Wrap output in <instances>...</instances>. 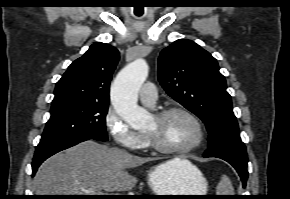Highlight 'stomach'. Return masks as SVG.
<instances>
[{"label": "stomach", "instance_id": "1", "mask_svg": "<svg viewBox=\"0 0 290 199\" xmlns=\"http://www.w3.org/2000/svg\"><path fill=\"white\" fill-rule=\"evenodd\" d=\"M148 184L155 195H206L207 181L202 172L191 163L170 167L157 165L148 175ZM164 198L197 199L198 196H171Z\"/></svg>", "mask_w": 290, "mask_h": 199}]
</instances>
